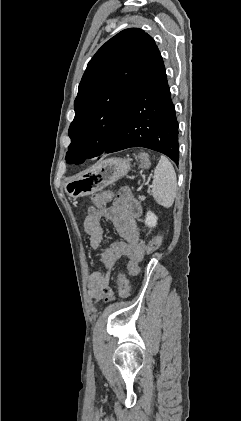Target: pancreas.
I'll use <instances>...</instances> for the list:
<instances>
[{
    "label": "pancreas",
    "instance_id": "1",
    "mask_svg": "<svg viewBox=\"0 0 241 421\" xmlns=\"http://www.w3.org/2000/svg\"><path fill=\"white\" fill-rule=\"evenodd\" d=\"M138 198H139V200H141V201L145 200V197H144V196H139Z\"/></svg>",
    "mask_w": 241,
    "mask_h": 421
}]
</instances>
